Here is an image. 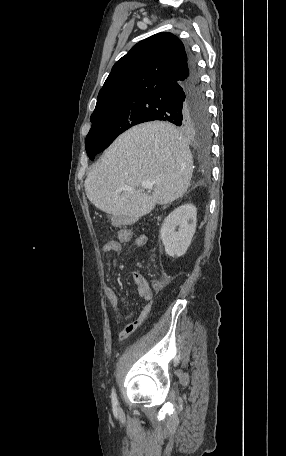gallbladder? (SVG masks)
Instances as JSON below:
<instances>
[{
	"label": "gallbladder",
	"instance_id": "bac80fb5",
	"mask_svg": "<svg viewBox=\"0 0 286 456\" xmlns=\"http://www.w3.org/2000/svg\"><path fill=\"white\" fill-rule=\"evenodd\" d=\"M113 219H116V216H113Z\"/></svg>",
	"mask_w": 286,
	"mask_h": 456
}]
</instances>
